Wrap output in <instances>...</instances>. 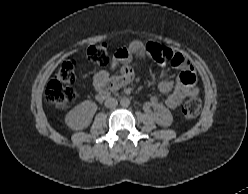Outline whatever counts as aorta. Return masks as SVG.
Returning <instances> with one entry per match:
<instances>
[{
    "mask_svg": "<svg viewBox=\"0 0 248 194\" xmlns=\"http://www.w3.org/2000/svg\"><path fill=\"white\" fill-rule=\"evenodd\" d=\"M120 105H121L122 107H128V106L130 105V99L127 98V97L121 98V100H120Z\"/></svg>",
    "mask_w": 248,
    "mask_h": 194,
    "instance_id": "1",
    "label": "aorta"
}]
</instances>
